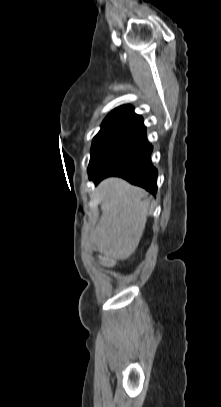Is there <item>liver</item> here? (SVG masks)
<instances>
[{
    "mask_svg": "<svg viewBox=\"0 0 221 407\" xmlns=\"http://www.w3.org/2000/svg\"><path fill=\"white\" fill-rule=\"evenodd\" d=\"M97 192L102 215L90 241L108 260H125L136 251L143 235L150 205L148 193L117 177L103 180Z\"/></svg>",
    "mask_w": 221,
    "mask_h": 407,
    "instance_id": "1",
    "label": "liver"
}]
</instances>
